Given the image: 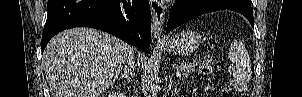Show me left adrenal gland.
I'll list each match as a JSON object with an SVG mask.
<instances>
[{
  "mask_svg": "<svg viewBox=\"0 0 302 97\" xmlns=\"http://www.w3.org/2000/svg\"><path fill=\"white\" fill-rule=\"evenodd\" d=\"M171 84H172V82H171ZM175 91H177V87L175 86Z\"/></svg>",
  "mask_w": 302,
  "mask_h": 97,
  "instance_id": "a2214340",
  "label": "left adrenal gland"
}]
</instances>
